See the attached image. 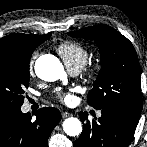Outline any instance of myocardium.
<instances>
[{
  "label": "myocardium",
  "mask_w": 147,
  "mask_h": 147,
  "mask_svg": "<svg viewBox=\"0 0 147 147\" xmlns=\"http://www.w3.org/2000/svg\"><path fill=\"white\" fill-rule=\"evenodd\" d=\"M99 67L98 65L96 64H91L87 69H86V73L89 75V76H94L97 71H98Z\"/></svg>",
  "instance_id": "f54148a6"
}]
</instances>
